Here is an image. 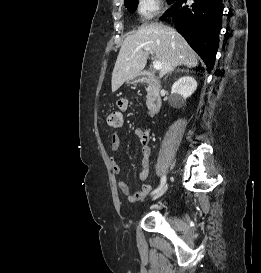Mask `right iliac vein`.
Masks as SVG:
<instances>
[{
    "instance_id": "1",
    "label": "right iliac vein",
    "mask_w": 261,
    "mask_h": 273,
    "mask_svg": "<svg viewBox=\"0 0 261 273\" xmlns=\"http://www.w3.org/2000/svg\"><path fill=\"white\" fill-rule=\"evenodd\" d=\"M168 188V184H165L157 193L154 194V196L152 197V200H156L159 197H161L167 190Z\"/></svg>"
}]
</instances>
